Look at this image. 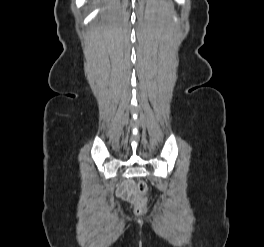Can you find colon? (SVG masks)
<instances>
[{
    "label": "colon",
    "instance_id": "colon-1",
    "mask_svg": "<svg viewBox=\"0 0 264 247\" xmlns=\"http://www.w3.org/2000/svg\"><path fill=\"white\" fill-rule=\"evenodd\" d=\"M123 198L134 204L137 213H143L146 210L148 201V187L144 181L136 184L131 195H123Z\"/></svg>",
    "mask_w": 264,
    "mask_h": 247
}]
</instances>
